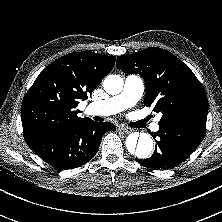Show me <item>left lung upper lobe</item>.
Wrapping results in <instances>:
<instances>
[{
	"label": "left lung upper lobe",
	"instance_id": "left-lung-upper-lobe-1",
	"mask_svg": "<svg viewBox=\"0 0 222 222\" xmlns=\"http://www.w3.org/2000/svg\"><path fill=\"white\" fill-rule=\"evenodd\" d=\"M117 68L145 81L144 105L162 112L159 123L193 122L206 126V92L191 69L167 50L150 47L117 58Z\"/></svg>",
	"mask_w": 222,
	"mask_h": 222
}]
</instances>
